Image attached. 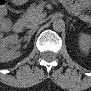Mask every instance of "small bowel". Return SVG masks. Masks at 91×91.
<instances>
[{
	"label": "small bowel",
	"mask_w": 91,
	"mask_h": 91,
	"mask_svg": "<svg viewBox=\"0 0 91 91\" xmlns=\"http://www.w3.org/2000/svg\"><path fill=\"white\" fill-rule=\"evenodd\" d=\"M5 10H6V9H4V11H3V12H5ZM1 24H2V22H1ZM1 28H2V25H1ZM2 29H3V28H2Z\"/></svg>",
	"instance_id": "obj_1"
}]
</instances>
